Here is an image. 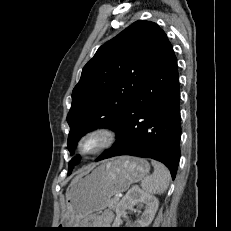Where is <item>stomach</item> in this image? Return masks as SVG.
<instances>
[{"label":"stomach","instance_id":"stomach-1","mask_svg":"<svg viewBox=\"0 0 231 231\" xmlns=\"http://www.w3.org/2000/svg\"><path fill=\"white\" fill-rule=\"evenodd\" d=\"M150 165L143 158L119 156L96 164L75 178L67 191V216L62 228L78 227L90 214L105 209L111 197L144 178Z\"/></svg>","mask_w":231,"mask_h":231}]
</instances>
